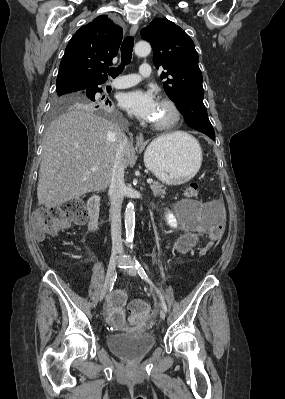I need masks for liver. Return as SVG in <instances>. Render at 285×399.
<instances>
[{
	"label": "liver",
	"instance_id": "liver-1",
	"mask_svg": "<svg viewBox=\"0 0 285 399\" xmlns=\"http://www.w3.org/2000/svg\"><path fill=\"white\" fill-rule=\"evenodd\" d=\"M122 134L117 125L91 111L73 108L54 121L43 147L37 186L39 205L51 208L106 189ZM184 134L174 132L162 137L180 139ZM133 151V145L127 142L125 167ZM92 167L97 170L92 171Z\"/></svg>",
	"mask_w": 285,
	"mask_h": 399
}]
</instances>
